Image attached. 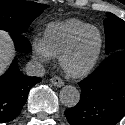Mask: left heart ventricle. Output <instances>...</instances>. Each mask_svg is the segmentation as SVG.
<instances>
[{"label": "left heart ventricle", "mask_w": 125, "mask_h": 125, "mask_svg": "<svg viewBox=\"0 0 125 125\" xmlns=\"http://www.w3.org/2000/svg\"><path fill=\"white\" fill-rule=\"evenodd\" d=\"M98 46V33L95 30L85 31L67 56V65L75 70L85 67L94 57Z\"/></svg>", "instance_id": "1"}]
</instances>
